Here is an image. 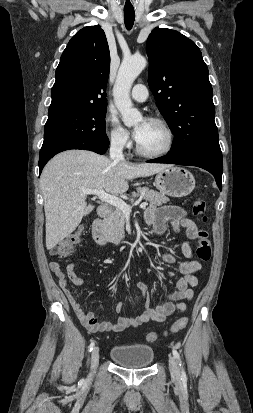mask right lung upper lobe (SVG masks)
I'll list each match as a JSON object with an SVG mask.
<instances>
[{
    "mask_svg": "<svg viewBox=\"0 0 253 413\" xmlns=\"http://www.w3.org/2000/svg\"><path fill=\"white\" fill-rule=\"evenodd\" d=\"M109 67V47L101 27L79 30L69 41L56 69L48 115L107 107Z\"/></svg>",
    "mask_w": 253,
    "mask_h": 413,
    "instance_id": "cb5924a9",
    "label": "right lung upper lobe"
}]
</instances>
